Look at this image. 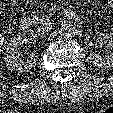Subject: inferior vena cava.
I'll return each mask as SVG.
<instances>
[{"label": "inferior vena cava", "instance_id": "inferior-vena-cava-1", "mask_svg": "<svg viewBox=\"0 0 113 113\" xmlns=\"http://www.w3.org/2000/svg\"><path fill=\"white\" fill-rule=\"evenodd\" d=\"M54 24L51 22L41 23L37 31L41 34L49 32L53 29Z\"/></svg>", "mask_w": 113, "mask_h": 113}]
</instances>
